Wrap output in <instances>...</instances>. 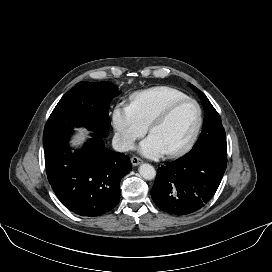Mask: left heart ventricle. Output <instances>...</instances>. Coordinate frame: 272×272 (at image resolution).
<instances>
[{"label":"left heart ventricle","mask_w":272,"mask_h":272,"mask_svg":"<svg viewBox=\"0 0 272 272\" xmlns=\"http://www.w3.org/2000/svg\"><path fill=\"white\" fill-rule=\"evenodd\" d=\"M197 121V109L192 103L179 106L170 117L150 133L165 152L182 146L192 134Z\"/></svg>","instance_id":"left-heart-ventricle-1"}]
</instances>
